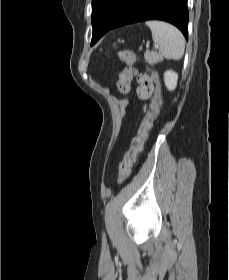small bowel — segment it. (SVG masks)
I'll list each match as a JSON object with an SVG mask.
<instances>
[{
	"label": "small bowel",
	"instance_id": "obj_1",
	"mask_svg": "<svg viewBox=\"0 0 229 280\" xmlns=\"http://www.w3.org/2000/svg\"><path fill=\"white\" fill-rule=\"evenodd\" d=\"M131 81H132V80H130V81L128 82V90H127L126 92H128L129 89H130ZM119 82H120V81H119ZM137 94H138V96H139L141 99H147V98L144 96L141 87H138V89H137Z\"/></svg>",
	"mask_w": 229,
	"mask_h": 280
}]
</instances>
